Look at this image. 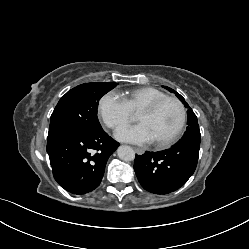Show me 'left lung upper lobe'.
<instances>
[{
	"instance_id": "1",
	"label": "left lung upper lobe",
	"mask_w": 249,
	"mask_h": 249,
	"mask_svg": "<svg viewBox=\"0 0 249 249\" xmlns=\"http://www.w3.org/2000/svg\"><path fill=\"white\" fill-rule=\"evenodd\" d=\"M163 87L169 90L170 92L175 93L176 96L180 99V101L185 105V107L188 108L187 130L179 142H184V141L200 142L201 135H200L199 125L197 122V117L194 114L193 110L189 108V105L185 102V99L180 94H178L176 91H174L173 89L169 87H166V86H163Z\"/></svg>"
}]
</instances>
